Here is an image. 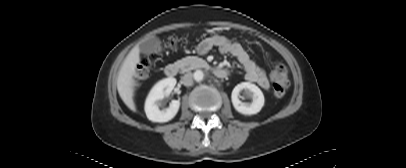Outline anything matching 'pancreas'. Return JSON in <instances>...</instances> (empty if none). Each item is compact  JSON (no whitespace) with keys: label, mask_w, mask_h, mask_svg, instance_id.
Wrapping results in <instances>:
<instances>
[{"label":"pancreas","mask_w":406,"mask_h":168,"mask_svg":"<svg viewBox=\"0 0 406 168\" xmlns=\"http://www.w3.org/2000/svg\"><path fill=\"white\" fill-rule=\"evenodd\" d=\"M178 63L187 70H192L207 65L206 61L198 57H186L178 61Z\"/></svg>","instance_id":"1"}]
</instances>
